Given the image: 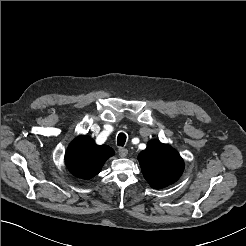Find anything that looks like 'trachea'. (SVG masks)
<instances>
[{"label": "trachea", "mask_w": 246, "mask_h": 246, "mask_svg": "<svg viewBox=\"0 0 246 246\" xmlns=\"http://www.w3.org/2000/svg\"><path fill=\"white\" fill-rule=\"evenodd\" d=\"M126 135L124 133H119L118 137H117V145L118 146H124L125 142H126Z\"/></svg>", "instance_id": "obj_1"}]
</instances>
